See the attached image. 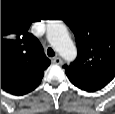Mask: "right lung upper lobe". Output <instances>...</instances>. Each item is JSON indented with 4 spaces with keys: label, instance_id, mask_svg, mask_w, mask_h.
<instances>
[{
    "label": "right lung upper lobe",
    "instance_id": "1",
    "mask_svg": "<svg viewBox=\"0 0 115 114\" xmlns=\"http://www.w3.org/2000/svg\"><path fill=\"white\" fill-rule=\"evenodd\" d=\"M30 24L22 18H1V88L14 95L34 90L51 63L39 40L28 33Z\"/></svg>",
    "mask_w": 115,
    "mask_h": 114
}]
</instances>
